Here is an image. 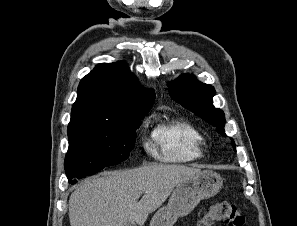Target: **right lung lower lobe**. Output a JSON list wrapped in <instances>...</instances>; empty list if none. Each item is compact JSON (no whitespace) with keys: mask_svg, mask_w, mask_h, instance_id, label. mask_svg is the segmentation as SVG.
<instances>
[{"mask_svg":"<svg viewBox=\"0 0 297 226\" xmlns=\"http://www.w3.org/2000/svg\"><path fill=\"white\" fill-rule=\"evenodd\" d=\"M91 174H94V173H91ZM91 174L84 175V176H80L78 179H80V178H83V177H86V176H89V175H91ZM69 183H71V184H74V183H75V181H69Z\"/></svg>","mask_w":297,"mask_h":226,"instance_id":"obj_1","label":"right lung lower lobe"}]
</instances>
